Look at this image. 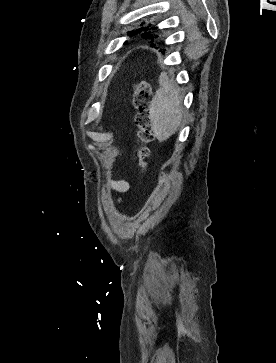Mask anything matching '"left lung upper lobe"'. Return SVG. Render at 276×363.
Wrapping results in <instances>:
<instances>
[{"instance_id": "5c2ea615", "label": "left lung upper lobe", "mask_w": 276, "mask_h": 363, "mask_svg": "<svg viewBox=\"0 0 276 363\" xmlns=\"http://www.w3.org/2000/svg\"><path fill=\"white\" fill-rule=\"evenodd\" d=\"M143 24L144 23H141V26ZM150 27H151V25H148L147 27H141L140 29L132 30V31L128 32V35H135L136 33L143 32L142 36H144L145 38H151V39H153L154 38V35H153V32L150 31V30L155 29V27H151V28ZM155 37H157V36H155Z\"/></svg>"}]
</instances>
